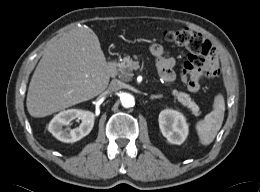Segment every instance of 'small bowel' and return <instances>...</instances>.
<instances>
[{
	"label": "small bowel",
	"instance_id": "small-bowel-1",
	"mask_svg": "<svg viewBox=\"0 0 260 192\" xmlns=\"http://www.w3.org/2000/svg\"><path fill=\"white\" fill-rule=\"evenodd\" d=\"M150 53L156 59V66L163 82L166 84L173 82L175 79V73L173 70V67L175 65V60L171 57L164 56V49L160 44L151 45ZM215 59H216V66L206 65L199 72L196 89L190 91L197 92L199 90L200 79L204 77L210 78L219 75L220 70H219L217 57H215Z\"/></svg>",
	"mask_w": 260,
	"mask_h": 192
}]
</instances>
